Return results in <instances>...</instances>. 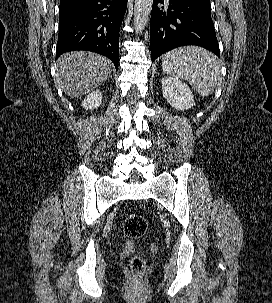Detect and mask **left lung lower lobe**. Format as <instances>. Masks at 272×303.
Returning a JSON list of instances; mask_svg holds the SVG:
<instances>
[{"label":"left lung lower lobe","instance_id":"obj_1","mask_svg":"<svg viewBox=\"0 0 272 303\" xmlns=\"http://www.w3.org/2000/svg\"><path fill=\"white\" fill-rule=\"evenodd\" d=\"M153 0L150 22L152 62L163 53L184 45L204 47L220 57L209 0H169L160 10Z\"/></svg>","mask_w":272,"mask_h":303}]
</instances>
